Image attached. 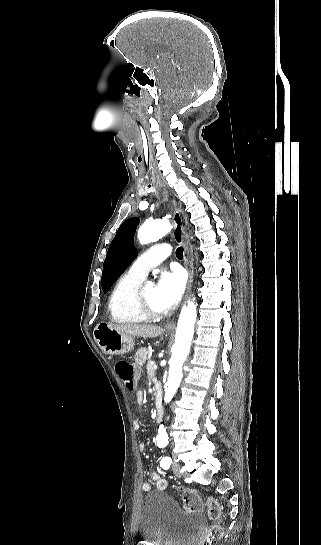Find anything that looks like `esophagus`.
<instances>
[{
    "instance_id": "1",
    "label": "esophagus",
    "mask_w": 321,
    "mask_h": 545,
    "mask_svg": "<svg viewBox=\"0 0 321 545\" xmlns=\"http://www.w3.org/2000/svg\"><path fill=\"white\" fill-rule=\"evenodd\" d=\"M161 190L166 198L168 200V193L165 185H161ZM172 209V207H171ZM172 220L174 224V239L177 243L181 242L184 245V265L186 267V270L188 272V286H187V292L190 289V285L193 279V248L192 244L190 242L188 233H187V217L182 209L181 206H179L177 209H172ZM174 322H168L165 325L166 329H173L174 328Z\"/></svg>"
}]
</instances>
